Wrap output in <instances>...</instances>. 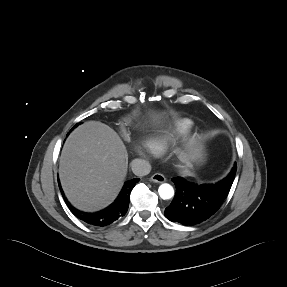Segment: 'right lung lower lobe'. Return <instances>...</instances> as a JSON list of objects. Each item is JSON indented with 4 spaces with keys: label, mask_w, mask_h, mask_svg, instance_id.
<instances>
[{
    "label": "right lung lower lobe",
    "mask_w": 287,
    "mask_h": 287,
    "mask_svg": "<svg viewBox=\"0 0 287 287\" xmlns=\"http://www.w3.org/2000/svg\"><path fill=\"white\" fill-rule=\"evenodd\" d=\"M139 180H140L139 178H134L132 180L125 182L116 200L104 210L95 213H86L74 208L66 199L60 186V183L59 182L58 183L60 191L68 208L78 219L82 220L83 222L89 225L103 227L117 221L126 214L129 207L130 193L135 184L139 182Z\"/></svg>",
    "instance_id": "obj_1"
}]
</instances>
